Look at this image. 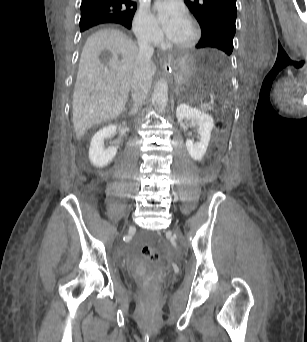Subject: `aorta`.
Instances as JSON below:
<instances>
[{"label": "aorta", "mask_w": 307, "mask_h": 342, "mask_svg": "<svg viewBox=\"0 0 307 342\" xmlns=\"http://www.w3.org/2000/svg\"><path fill=\"white\" fill-rule=\"evenodd\" d=\"M168 82L161 78L154 86L152 104L156 110H165L168 104Z\"/></svg>", "instance_id": "aorta-1"}]
</instances>
